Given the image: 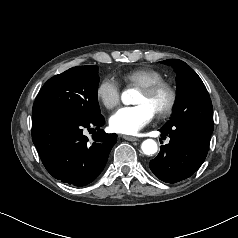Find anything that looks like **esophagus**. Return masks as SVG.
Here are the masks:
<instances>
[{
    "label": "esophagus",
    "mask_w": 238,
    "mask_h": 238,
    "mask_svg": "<svg viewBox=\"0 0 238 238\" xmlns=\"http://www.w3.org/2000/svg\"><path fill=\"white\" fill-rule=\"evenodd\" d=\"M122 138H124L125 140H128V141H138L139 140L137 137L127 136V135H122Z\"/></svg>",
    "instance_id": "esophagus-1"
}]
</instances>
